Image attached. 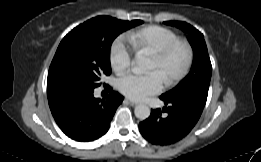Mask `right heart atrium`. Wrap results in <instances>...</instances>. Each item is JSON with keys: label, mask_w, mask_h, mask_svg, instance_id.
Instances as JSON below:
<instances>
[{"label": "right heart atrium", "mask_w": 261, "mask_h": 162, "mask_svg": "<svg viewBox=\"0 0 261 162\" xmlns=\"http://www.w3.org/2000/svg\"><path fill=\"white\" fill-rule=\"evenodd\" d=\"M110 65L112 69L121 74L131 65V55L123 40H117L110 49Z\"/></svg>", "instance_id": "d8ad5b80"}]
</instances>
